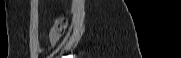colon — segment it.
Returning a JSON list of instances; mask_svg holds the SVG:
<instances>
[{"mask_svg": "<svg viewBox=\"0 0 181 58\" xmlns=\"http://www.w3.org/2000/svg\"><path fill=\"white\" fill-rule=\"evenodd\" d=\"M66 29V21L64 19H57L52 29L51 40L55 43L59 40Z\"/></svg>", "mask_w": 181, "mask_h": 58, "instance_id": "5ec220e1", "label": "colon"}]
</instances>
